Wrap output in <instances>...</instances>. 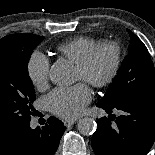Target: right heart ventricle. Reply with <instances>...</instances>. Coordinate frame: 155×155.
<instances>
[{
	"mask_svg": "<svg viewBox=\"0 0 155 155\" xmlns=\"http://www.w3.org/2000/svg\"><path fill=\"white\" fill-rule=\"evenodd\" d=\"M98 44L100 42L91 37L78 36L60 44L58 51L77 64Z\"/></svg>",
	"mask_w": 155,
	"mask_h": 155,
	"instance_id": "1",
	"label": "right heart ventricle"
}]
</instances>
